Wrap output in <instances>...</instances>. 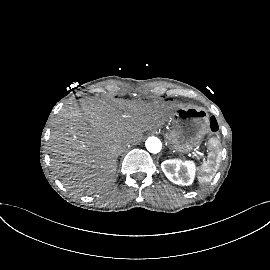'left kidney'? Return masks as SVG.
Masks as SVG:
<instances>
[{
    "instance_id": "1",
    "label": "left kidney",
    "mask_w": 270,
    "mask_h": 270,
    "mask_svg": "<svg viewBox=\"0 0 270 270\" xmlns=\"http://www.w3.org/2000/svg\"><path fill=\"white\" fill-rule=\"evenodd\" d=\"M161 168L165 176L174 184L188 186L194 181L195 170L193 166L182 164L176 159L165 160L162 162Z\"/></svg>"
}]
</instances>
